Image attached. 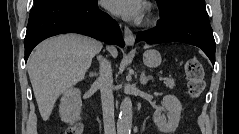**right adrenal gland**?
Wrapping results in <instances>:
<instances>
[{
    "instance_id": "2a0ac1e0",
    "label": "right adrenal gland",
    "mask_w": 239,
    "mask_h": 134,
    "mask_svg": "<svg viewBox=\"0 0 239 134\" xmlns=\"http://www.w3.org/2000/svg\"><path fill=\"white\" fill-rule=\"evenodd\" d=\"M90 77H96L97 76V74L96 73H90V75H89Z\"/></svg>"
}]
</instances>
